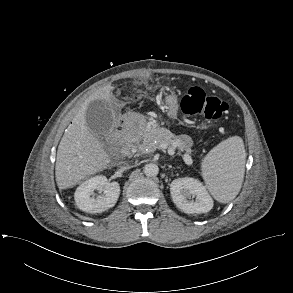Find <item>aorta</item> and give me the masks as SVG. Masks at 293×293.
<instances>
[{"mask_svg":"<svg viewBox=\"0 0 293 293\" xmlns=\"http://www.w3.org/2000/svg\"><path fill=\"white\" fill-rule=\"evenodd\" d=\"M144 174L148 177H154L159 173V167L155 163H149L144 166Z\"/></svg>","mask_w":293,"mask_h":293,"instance_id":"762f6f07","label":"aorta"}]
</instances>
